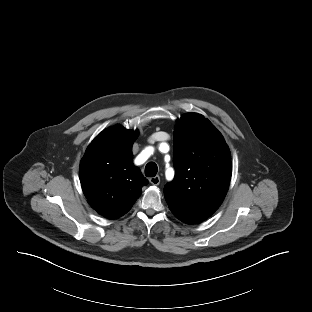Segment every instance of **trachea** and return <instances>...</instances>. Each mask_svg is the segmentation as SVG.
<instances>
[{
  "label": "trachea",
  "instance_id": "1",
  "mask_svg": "<svg viewBox=\"0 0 312 312\" xmlns=\"http://www.w3.org/2000/svg\"><path fill=\"white\" fill-rule=\"evenodd\" d=\"M158 167L154 162H149L145 166V175L148 177H154L157 174Z\"/></svg>",
  "mask_w": 312,
  "mask_h": 312
}]
</instances>
